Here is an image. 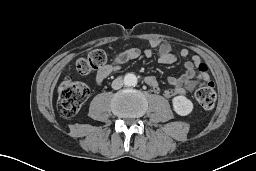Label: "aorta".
I'll use <instances>...</instances> for the list:
<instances>
[{
  "instance_id": "aorta-1",
  "label": "aorta",
  "mask_w": 256,
  "mask_h": 171,
  "mask_svg": "<svg viewBox=\"0 0 256 171\" xmlns=\"http://www.w3.org/2000/svg\"><path fill=\"white\" fill-rule=\"evenodd\" d=\"M123 81L126 86H136L138 82L136 75L133 73L126 74Z\"/></svg>"
}]
</instances>
